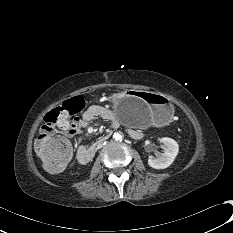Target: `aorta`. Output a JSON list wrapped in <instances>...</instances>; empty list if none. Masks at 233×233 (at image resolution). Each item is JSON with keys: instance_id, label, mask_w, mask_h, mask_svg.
Masks as SVG:
<instances>
[{"instance_id": "obj_1", "label": "aorta", "mask_w": 233, "mask_h": 233, "mask_svg": "<svg viewBox=\"0 0 233 233\" xmlns=\"http://www.w3.org/2000/svg\"><path fill=\"white\" fill-rule=\"evenodd\" d=\"M113 138L116 141H120V140H122V135L120 133H114Z\"/></svg>"}]
</instances>
